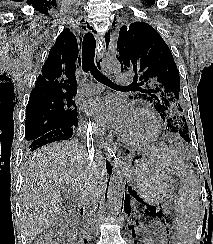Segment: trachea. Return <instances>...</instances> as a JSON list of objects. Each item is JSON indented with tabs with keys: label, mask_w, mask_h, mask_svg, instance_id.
Returning a JSON list of instances; mask_svg holds the SVG:
<instances>
[{
	"label": "trachea",
	"mask_w": 213,
	"mask_h": 244,
	"mask_svg": "<svg viewBox=\"0 0 213 244\" xmlns=\"http://www.w3.org/2000/svg\"><path fill=\"white\" fill-rule=\"evenodd\" d=\"M95 48L96 40L92 33L88 32L84 36L83 46H82V69L85 73L90 72L93 77L112 88H121L124 86H119L112 83L105 75H103L95 66L94 57H95ZM100 69V68H99Z\"/></svg>",
	"instance_id": "3493384b"
}]
</instances>
